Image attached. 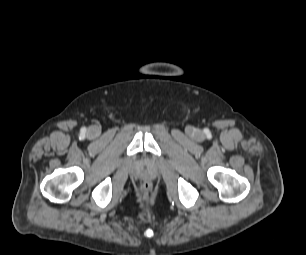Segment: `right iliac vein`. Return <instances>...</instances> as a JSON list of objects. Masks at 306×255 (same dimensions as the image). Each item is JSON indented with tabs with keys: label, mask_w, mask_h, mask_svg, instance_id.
Returning a JSON list of instances; mask_svg holds the SVG:
<instances>
[{
	"label": "right iliac vein",
	"mask_w": 306,
	"mask_h": 255,
	"mask_svg": "<svg viewBox=\"0 0 306 255\" xmlns=\"http://www.w3.org/2000/svg\"><path fill=\"white\" fill-rule=\"evenodd\" d=\"M88 134H89V136H91L93 138L97 137L100 134L99 127H97V126L90 127L89 130H88Z\"/></svg>",
	"instance_id": "obj_1"
}]
</instances>
